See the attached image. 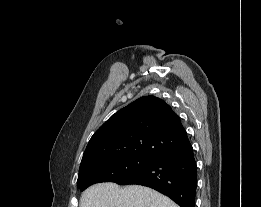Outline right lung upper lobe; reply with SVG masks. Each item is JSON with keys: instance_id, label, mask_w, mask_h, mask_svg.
Listing matches in <instances>:
<instances>
[{"instance_id": "obj_1", "label": "right lung upper lobe", "mask_w": 261, "mask_h": 207, "mask_svg": "<svg viewBox=\"0 0 261 207\" xmlns=\"http://www.w3.org/2000/svg\"><path fill=\"white\" fill-rule=\"evenodd\" d=\"M190 144L181 120L155 96H143L111 116L91 137L80 167L119 157L158 158Z\"/></svg>"}]
</instances>
